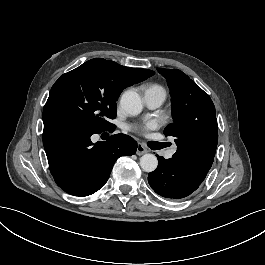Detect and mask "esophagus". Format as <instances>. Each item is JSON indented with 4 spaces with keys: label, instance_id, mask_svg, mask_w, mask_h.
<instances>
[{
    "label": "esophagus",
    "instance_id": "1",
    "mask_svg": "<svg viewBox=\"0 0 265 265\" xmlns=\"http://www.w3.org/2000/svg\"><path fill=\"white\" fill-rule=\"evenodd\" d=\"M147 152H148L147 148H146L142 143H138V144H137V151H136V154H137L138 156H141V155H143V154H145V153H147Z\"/></svg>",
    "mask_w": 265,
    "mask_h": 265
}]
</instances>
